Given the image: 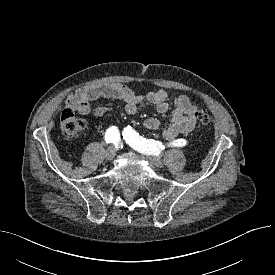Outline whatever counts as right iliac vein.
<instances>
[{
    "mask_svg": "<svg viewBox=\"0 0 275 275\" xmlns=\"http://www.w3.org/2000/svg\"><path fill=\"white\" fill-rule=\"evenodd\" d=\"M115 155H116L115 147H113V146L108 147V149L105 152L106 160H108V161L112 160L115 157Z\"/></svg>",
    "mask_w": 275,
    "mask_h": 275,
    "instance_id": "63e3f726",
    "label": "right iliac vein"
}]
</instances>
